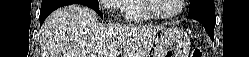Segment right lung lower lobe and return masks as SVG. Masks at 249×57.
Segmentation results:
<instances>
[{"mask_svg": "<svg viewBox=\"0 0 249 57\" xmlns=\"http://www.w3.org/2000/svg\"><path fill=\"white\" fill-rule=\"evenodd\" d=\"M73 3L85 5L83 0H43L39 16L40 26L52 11L64 5L73 4ZM94 10L100 15L101 18H103V14L99 9H94Z\"/></svg>", "mask_w": 249, "mask_h": 57, "instance_id": "obj_1", "label": "right lung lower lobe"}]
</instances>
